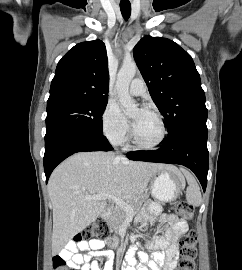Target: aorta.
<instances>
[{"instance_id":"762f6f07","label":"aorta","mask_w":242,"mask_h":270,"mask_svg":"<svg viewBox=\"0 0 242 270\" xmlns=\"http://www.w3.org/2000/svg\"><path fill=\"white\" fill-rule=\"evenodd\" d=\"M137 71L135 62H124L118 72L116 80V91L119 102L127 115L137 111V106L129 94V85Z\"/></svg>"}]
</instances>
